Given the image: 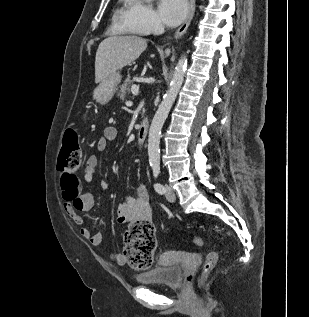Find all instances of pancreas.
Listing matches in <instances>:
<instances>
[{
  "instance_id": "cf45deb5",
  "label": "pancreas",
  "mask_w": 309,
  "mask_h": 317,
  "mask_svg": "<svg viewBox=\"0 0 309 317\" xmlns=\"http://www.w3.org/2000/svg\"><path fill=\"white\" fill-rule=\"evenodd\" d=\"M132 84H133V80L126 79L124 83L120 86V90L118 91L117 96L121 100H125L127 95H129Z\"/></svg>"
}]
</instances>
